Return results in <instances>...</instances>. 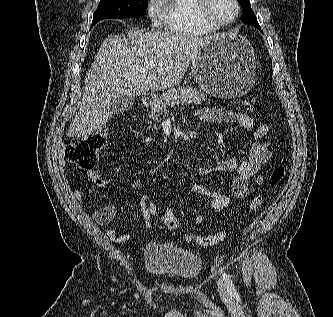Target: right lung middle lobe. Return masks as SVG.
Listing matches in <instances>:
<instances>
[{
  "label": "right lung middle lobe",
  "instance_id": "obj_1",
  "mask_svg": "<svg viewBox=\"0 0 333 317\" xmlns=\"http://www.w3.org/2000/svg\"><path fill=\"white\" fill-rule=\"evenodd\" d=\"M148 0H100L93 15L92 26L107 18H126L145 13Z\"/></svg>",
  "mask_w": 333,
  "mask_h": 317
}]
</instances>
